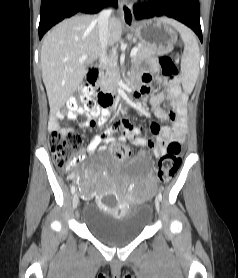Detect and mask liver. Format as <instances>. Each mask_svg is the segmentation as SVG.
<instances>
[{
	"label": "liver",
	"instance_id": "6515ba94",
	"mask_svg": "<svg viewBox=\"0 0 238 278\" xmlns=\"http://www.w3.org/2000/svg\"><path fill=\"white\" fill-rule=\"evenodd\" d=\"M121 35V21L116 17L110 18L108 45L114 46ZM100 52L97 18L90 15L66 19L45 36L40 62L51 113L59 111L75 93L87 67ZM83 55L88 57L80 62Z\"/></svg>",
	"mask_w": 238,
	"mask_h": 278
}]
</instances>
